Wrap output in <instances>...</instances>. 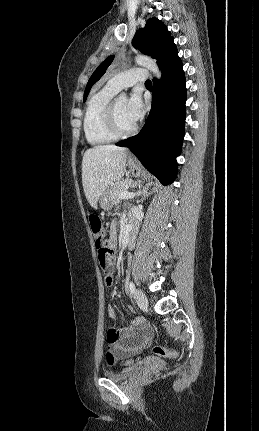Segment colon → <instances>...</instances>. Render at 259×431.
Instances as JSON below:
<instances>
[{
  "label": "colon",
  "instance_id": "1",
  "mask_svg": "<svg viewBox=\"0 0 259 431\" xmlns=\"http://www.w3.org/2000/svg\"><path fill=\"white\" fill-rule=\"evenodd\" d=\"M91 230L95 238V245L98 250V259L101 268L103 266L111 268L112 262L114 260V249L110 246L108 240H105V232L102 220L97 215H90L89 218ZM117 335L113 332L107 333V342L109 344L114 343L117 340ZM153 353L157 356L164 358H173L177 355L176 351L173 349L164 348L161 346H154L152 349ZM134 360H126L125 364H131Z\"/></svg>",
  "mask_w": 259,
  "mask_h": 431
}]
</instances>
